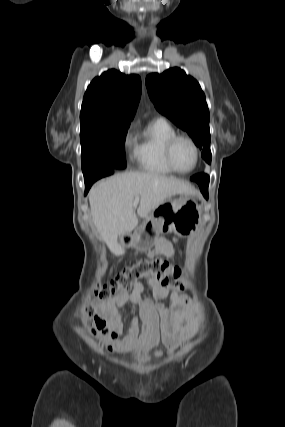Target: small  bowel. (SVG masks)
Segmentation results:
<instances>
[{
  "label": "small bowel",
  "mask_w": 285,
  "mask_h": 427,
  "mask_svg": "<svg viewBox=\"0 0 285 427\" xmlns=\"http://www.w3.org/2000/svg\"><path fill=\"white\" fill-rule=\"evenodd\" d=\"M174 242V239L159 238L156 242V249L149 254V258L158 254L172 257ZM146 286L152 289L155 300L170 298L172 300L171 309H165L152 299H143L141 295ZM190 302V298L182 290L162 287L157 281L146 279L136 281L130 293L123 292L109 302L96 300L93 306L95 311L104 318L111 332L117 336L122 334L124 329V316L121 308L127 303L136 305L139 318L142 321L141 333L138 329V318L133 317L129 334L121 344H118V347L122 352H133L144 357L153 347L158 345L161 335L168 343L169 353L174 352L180 342L190 336L189 331L181 330L177 326L178 315ZM162 356L163 352L161 351L152 355L153 358Z\"/></svg>",
  "instance_id": "c3829d8e"
}]
</instances>
